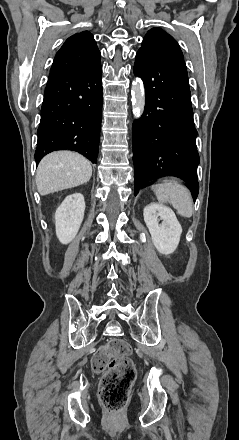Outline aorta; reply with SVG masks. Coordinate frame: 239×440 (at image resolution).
<instances>
[{"label": "aorta", "mask_w": 239, "mask_h": 440, "mask_svg": "<svg viewBox=\"0 0 239 440\" xmlns=\"http://www.w3.org/2000/svg\"><path fill=\"white\" fill-rule=\"evenodd\" d=\"M133 112L136 118H140L145 108V92L142 84L135 82L131 90Z\"/></svg>", "instance_id": "1"}]
</instances>
